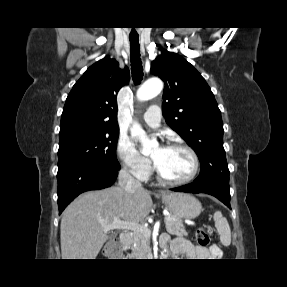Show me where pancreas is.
I'll return each instance as SVG.
<instances>
[{
	"instance_id": "1",
	"label": "pancreas",
	"mask_w": 287,
	"mask_h": 287,
	"mask_svg": "<svg viewBox=\"0 0 287 287\" xmlns=\"http://www.w3.org/2000/svg\"><path fill=\"white\" fill-rule=\"evenodd\" d=\"M167 217L168 220H165V224L166 230L169 234L176 236H188V232L185 230L181 218L173 214H169ZM149 238V234L134 232L130 237L132 243V253L129 256L132 258H145L150 251Z\"/></svg>"
}]
</instances>
